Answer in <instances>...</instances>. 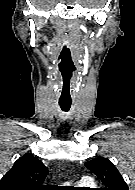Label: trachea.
<instances>
[{
  "mask_svg": "<svg viewBox=\"0 0 135 190\" xmlns=\"http://www.w3.org/2000/svg\"><path fill=\"white\" fill-rule=\"evenodd\" d=\"M59 105L64 112H68L71 107V103H59Z\"/></svg>",
  "mask_w": 135,
  "mask_h": 190,
  "instance_id": "trachea-1",
  "label": "trachea"
}]
</instances>
